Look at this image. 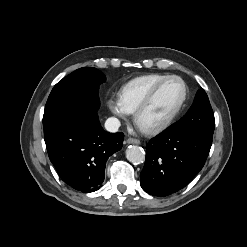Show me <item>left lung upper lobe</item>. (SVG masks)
Wrapping results in <instances>:
<instances>
[{
  "label": "left lung upper lobe",
  "mask_w": 247,
  "mask_h": 247,
  "mask_svg": "<svg viewBox=\"0 0 247 247\" xmlns=\"http://www.w3.org/2000/svg\"><path fill=\"white\" fill-rule=\"evenodd\" d=\"M174 127L182 132L213 135L215 119L204 89L198 90L193 105L186 115L174 124Z\"/></svg>",
  "instance_id": "5c2ea615"
}]
</instances>
